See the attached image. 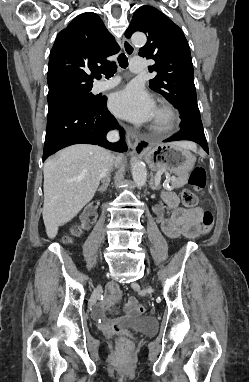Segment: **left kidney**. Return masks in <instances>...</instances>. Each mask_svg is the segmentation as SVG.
<instances>
[{
  "label": "left kidney",
  "instance_id": "obj_1",
  "mask_svg": "<svg viewBox=\"0 0 249 382\" xmlns=\"http://www.w3.org/2000/svg\"><path fill=\"white\" fill-rule=\"evenodd\" d=\"M164 202L163 201H155L154 202V207L155 208H163L164 207Z\"/></svg>",
  "mask_w": 249,
  "mask_h": 382
}]
</instances>
